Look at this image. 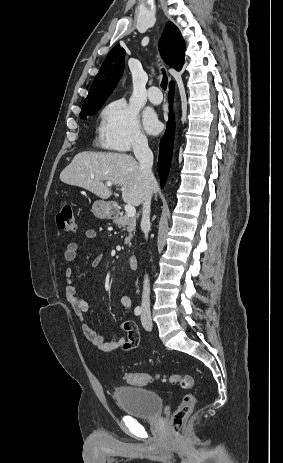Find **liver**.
I'll list each match as a JSON object with an SVG mask.
<instances>
[{"label": "liver", "instance_id": "6515ba94", "mask_svg": "<svg viewBox=\"0 0 283 463\" xmlns=\"http://www.w3.org/2000/svg\"><path fill=\"white\" fill-rule=\"evenodd\" d=\"M60 180L84 188L102 199H108L112 195L109 187L104 184L109 181L121 187L125 203L138 206L144 200L143 176L139 162L126 153H78L63 169ZM155 187L156 182L153 191Z\"/></svg>", "mask_w": 283, "mask_h": 463}]
</instances>
